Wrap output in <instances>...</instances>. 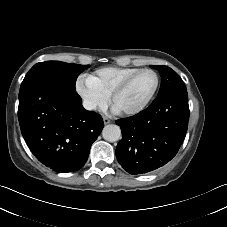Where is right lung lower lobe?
Returning a JSON list of instances; mask_svg holds the SVG:
<instances>
[{
	"instance_id": "98d812e1",
	"label": "right lung lower lobe",
	"mask_w": 227,
	"mask_h": 227,
	"mask_svg": "<svg viewBox=\"0 0 227 227\" xmlns=\"http://www.w3.org/2000/svg\"><path fill=\"white\" fill-rule=\"evenodd\" d=\"M18 119L35 157L58 173L79 170L104 123L87 111L76 91L48 80L20 89Z\"/></svg>"
}]
</instances>
